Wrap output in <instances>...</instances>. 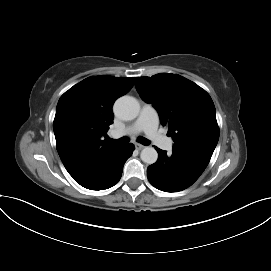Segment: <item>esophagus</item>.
Segmentation results:
<instances>
[{"label": "esophagus", "instance_id": "esophagus-1", "mask_svg": "<svg viewBox=\"0 0 271 271\" xmlns=\"http://www.w3.org/2000/svg\"><path fill=\"white\" fill-rule=\"evenodd\" d=\"M135 147H136V149H138V150H142V149H144V148H145V146H144V145L139 144V143H136V144H135Z\"/></svg>", "mask_w": 271, "mask_h": 271}]
</instances>
